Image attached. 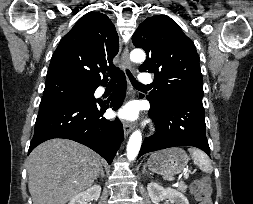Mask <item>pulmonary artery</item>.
<instances>
[{"label":"pulmonary artery","mask_w":253,"mask_h":204,"mask_svg":"<svg viewBox=\"0 0 253 204\" xmlns=\"http://www.w3.org/2000/svg\"><path fill=\"white\" fill-rule=\"evenodd\" d=\"M140 83L144 86H148L153 83V77L149 73H141L139 76Z\"/></svg>","instance_id":"1"}]
</instances>
